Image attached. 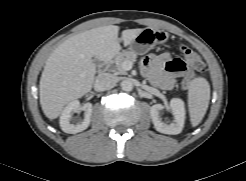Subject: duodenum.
<instances>
[{
    "label": "duodenum",
    "instance_id": "410a0bca",
    "mask_svg": "<svg viewBox=\"0 0 246 181\" xmlns=\"http://www.w3.org/2000/svg\"><path fill=\"white\" fill-rule=\"evenodd\" d=\"M108 67V62H104L100 68V72H105Z\"/></svg>",
    "mask_w": 246,
    "mask_h": 181
}]
</instances>
